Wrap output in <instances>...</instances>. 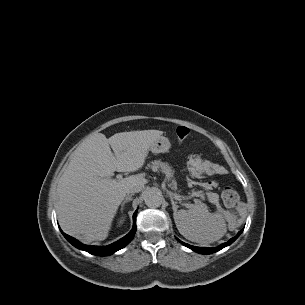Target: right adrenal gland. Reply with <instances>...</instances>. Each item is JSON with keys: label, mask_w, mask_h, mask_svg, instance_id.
<instances>
[{"label": "right adrenal gland", "mask_w": 305, "mask_h": 305, "mask_svg": "<svg viewBox=\"0 0 305 305\" xmlns=\"http://www.w3.org/2000/svg\"><path fill=\"white\" fill-rule=\"evenodd\" d=\"M132 196H133V194L126 196V198L124 199V201L121 204V212H123L125 203L130 202L132 200Z\"/></svg>", "instance_id": "2a0ac1e0"}]
</instances>
